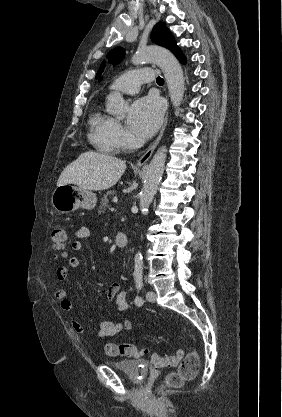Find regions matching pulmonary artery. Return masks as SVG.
<instances>
[{
	"label": "pulmonary artery",
	"instance_id": "e3ab8cb5",
	"mask_svg": "<svg viewBox=\"0 0 282 417\" xmlns=\"http://www.w3.org/2000/svg\"><path fill=\"white\" fill-rule=\"evenodd\" d=\"M150 68L145 66L141 70H129V72L118 76L109 89L112 91H121L127 94L138 92L142 83H153L155 77L149 74Z\"/></svg>",
	"mask_w": 282,
	"mask_h": 417
}]
</instances>
